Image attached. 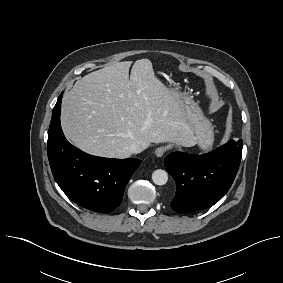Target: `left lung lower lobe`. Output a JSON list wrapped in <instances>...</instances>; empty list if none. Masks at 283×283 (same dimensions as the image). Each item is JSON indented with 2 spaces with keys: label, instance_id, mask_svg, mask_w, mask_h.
Wrapping results in <instances>:
<instances>
[{
  "label": "left lung lower lobe",
  "instance_id": "0a47b994",
  "mask_svg": "<svg viewBox=\"0 0 283 283\" xmlns=\"http://www.w3.org/2000/svg\"><path fill=\"white\" fill-rule=\"evenodd\" d=\"M242 146V140H230L205 155L180 152L168 155L165 158V167L176 182L172 209L177 213H191L218 202L235 179Z\"/></svg>",
  "mask_w": 283,
  "mask_h": 283
}]
</instances>
